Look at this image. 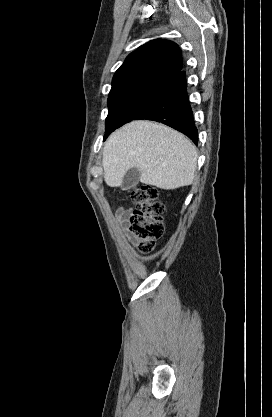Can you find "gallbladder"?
<instances>
[{"instance_id": "gallbladder-1", "label": "gallbladder", "mask_w": 272, "mask_h": 417, "mask_svg": "<svg viewBox=\"0 0 272 417\" xmlns=\"http://www.w3.org/2000/svg\"><path fill=\"white\" fill-rule=\"evenodd\" d=\"M140 178V170L136 167L129 169L123 178V190H129L135 187Z\"/></svg>"}]
</instances>
